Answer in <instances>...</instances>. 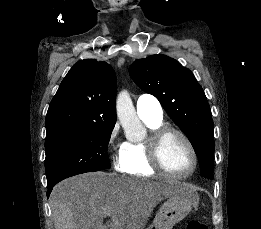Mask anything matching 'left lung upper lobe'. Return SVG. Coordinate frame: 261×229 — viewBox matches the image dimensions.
Returning a JSON list of instances; mask_svg holds the SVG:
<instances>
[{
  "instance_id": "obj_1",
  "label": "left lung upper lobe",
  "mask_w": 261,
  "mask_h": 229,
  "mask_svg": "<svg viewBox=\"0 0 261 229\" xmlns=\"http://www.w3.org/2000/svg\"><path fill=\"white\" fill-rule=\"evenodd\" d=\"M129 73L144 92L160 101L191 142L200 162L201 175L212 179L214 124L205 93L193 73L162 54L136 60Z\"/></svg>"
}]
</instances>
